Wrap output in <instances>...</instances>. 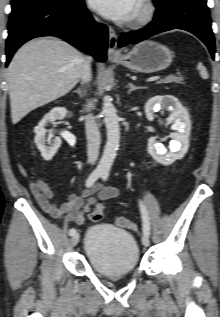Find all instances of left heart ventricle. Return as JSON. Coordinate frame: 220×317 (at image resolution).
Returning a JSON list of instances; mask_svg holds the SVG:
<instances>
[{"label": "left heart ventricle", "instance_id": "obj_1", "mask_svg": "<svg viewBox=\"0 0 220 317\" xmlns=\"http://www.w3.org/2000/svg\"><path fill=\"white\" fill-rule=\"evenodd\" d=\"M138 9H139V4L136 5L135 13L138 11Z\"/></svg>", "mask_w": 220, "mask_h": 317}]
</instances>
